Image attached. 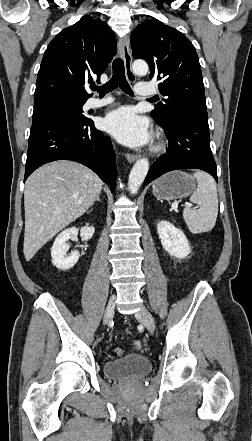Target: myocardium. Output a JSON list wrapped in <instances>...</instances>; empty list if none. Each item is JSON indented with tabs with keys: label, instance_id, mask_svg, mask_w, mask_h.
Returning <instances> with one entry per match:
<instances>
[{
	"label": "myocardium",
	"instance_id": "1",
	"mask_svg": "<svg viewBox=\"0 0 252 441\" xmlns=\"http://www.w3.org/2000/svg\"><path fill=\"white\" fill-rule=\"evenodd\" d=\"M161 148V145H157L156 146V149L158 150V149H160Z\"/></svg>",
	"mask_w": 252,
	"mask_h": 441
}]
</instances>
